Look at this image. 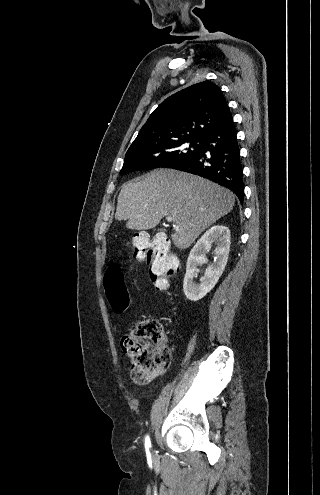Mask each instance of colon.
<instances>
[{"mask_svg": "<svg viewBox=\"0 0 320 495\" xmlns=\"http://www.w3.org/2000/svg\"><path fill=\"white\" fill-rule=\"evenodd\" d=\"M131 246L135 257L149 264L154 286L159 290L168 288L178 270L169 240L165 236L150 239L146 233H137ZM103 287L111 308L116 313L124 312L129 306V294L118 263H111L105 270ZM121 348L131 360V377L138 385L149 383L169 366L170 351L162 339L160 324L154 319L144 320L126 333L121 338Z\"/></svg>", "mask_w": 320, "mask_h": 495, "instance_id": "1", "label": "colon"}]
</instances>
